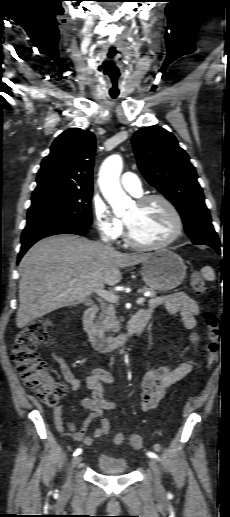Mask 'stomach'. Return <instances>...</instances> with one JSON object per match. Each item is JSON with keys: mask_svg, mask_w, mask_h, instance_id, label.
Returning <instances> with one entry per match:
<instances>
[{"mask_svg": "<svg viewBox=\"0 0 230 517\" xmlns=\"http://www.w3.org/2000/svg\"><path fill=\"white\" fill-rule=\"evenodd\" d=\"M186 265L176 253L160 249L148 254L141 267V275L152 289L170 291L179 286L186 276Z\"/></svg>", "mask_w": 230, "mask_h": 517, "instance_id": "obj_1", "label": "stomach"}]
</instances>
